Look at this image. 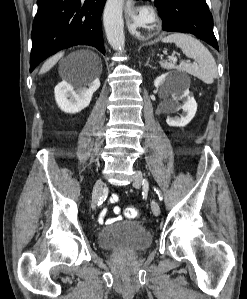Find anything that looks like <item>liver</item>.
I'll use <instances>...</instances> for the list:
<instances>
[{
	"label": "liver",
	"mask_w": 247,
	"mask_h": 299,
	"mask_svg": "<svg viewBox=\"0 0 247 299\" xmlns=\"http://www.w3.org/2000/svg\"><path fill=\"white\" fill-rule=\"evenodd\" d=\"M88 54H90L94 59L95 61L98 63V65L101 66V61L99 59V57L91 52V51H87ZM63 52L61 53H58L56 55H54L53 57H51L50 59H48L42 66L41 70H40V74H44L46 73L47 71H49L57 62L59 59H61V57H63Z\"/></svg>",
	"instance_id": "1"
}]
</instances>
